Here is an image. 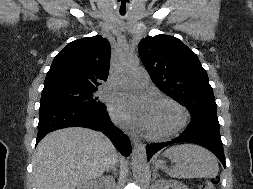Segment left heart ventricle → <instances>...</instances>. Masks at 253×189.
I'll use <instances>...</instances> for the list:
<instances>
[{
	"mask_svg": "<svg viewBox=\"0 0 253 189\" xmlns=\"http://www.w3.org/2000/svg\"><path fill=\"white\" fill-rule=\"evenodd\" d=\"M178 112L167 104H153L147 129L164 132L170 130L178 121Z\"/></svg>",
	"mask_w": 253,
	"mask_h": 189,
	"instance_id": "obj_1",
	"label": "left heart ventricle"
}]
</instances>
